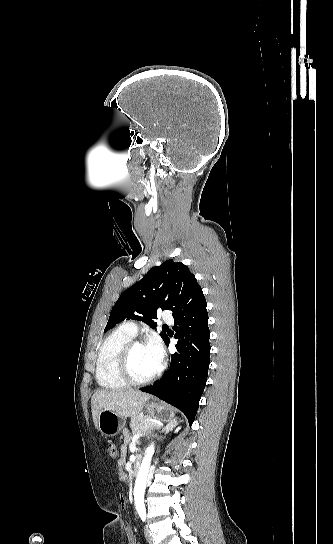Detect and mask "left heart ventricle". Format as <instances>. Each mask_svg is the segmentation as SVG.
Returning <instances> with one entry per match:
<instances>
[{"instance_id":"left-heart-ventricle-1","label":"left heart ventricle","mask_w":333,"mask_h":544,"mask_svg":"<svg viewBox=\"0 0 333 544\" xmlns=\"http://www.w3.org/2000/svg\"><path fill=\"white\" fill-rule=\"evenodd\" d=\"M159 368L148 345H137L131 354L130 369L136 379H146Z\"/></svg>"}]
</instances>
